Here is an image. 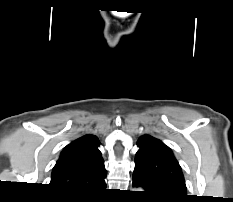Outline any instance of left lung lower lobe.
I'll return each instance as SVG.
<instances>
[{
  "mask_svg": "<svg viewBox=\"0 0 233 202\" xmlns=\"http://www.w3.org/2000/svg\"><path fill=\"white\" fill-rule=\"evenodd\" d=\"M133 185H134V186H139V185H137V184H136V183H134V182H133Z\"/></svg>",
  "mask_w": 233,
  "mask_h": 202,
  "instance_id": "0a47b994",
  "label": "left lung lower lobe"
}]
</instances>
